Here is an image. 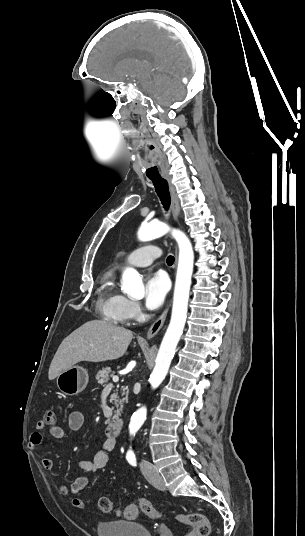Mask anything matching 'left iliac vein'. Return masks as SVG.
<instances>
[{"label":"left iliac vein","instance_id":"left-iliac-vein-1","mask_svg":"<svg viewBox=\"0 0 305 536\" xmlns=\"http://www.w3.org/2000/svg\"><path fill=\"white\" fill-rule=\"evenodd\" d=\"M141 470L145 477L150 481V483L157 489L165 491L166 487L163 482L162 476L158 473L155 467L152 466H143Z\"/></svg>","mask_w":305,"mask_h":536}]
</instances>
